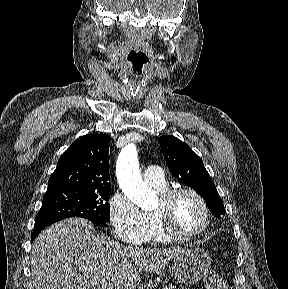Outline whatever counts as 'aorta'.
Returning <instances> with one entry per match:
<instances>
[{
    "mask_svg": "<svg viewBox=\"0 0 288 289\" xmlns=\"http://www.w3.org/2000/svg\"><path fill=\"white\" fill-rule=\"evenodd\" d=\"M116 175L124 194L143 210H151L157 204V196L143 181L140 174L136 146L128 144L118 157Z\"/></svg>",
    "mask_w": 288,
    "mask_h": 289,
    "instance_id": "1",
    "label": "aorta"
}]
</instances>
